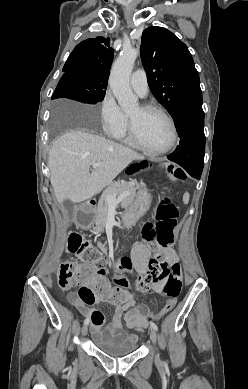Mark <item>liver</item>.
Listing matches in <instances>:
<instances>
[{
  "label": "liver",
  "instance_id": "6515ba94",
  "mask_svg": "<svg viewBox=\"0 0 248 389\" xmlns=\"http://www.w3.org/2000/svg\"><path fill=\"white\" fill-rule=\"evenodd\" d=\"M144 156L121 144L84 131L58 138L48 159L50 182L59 203H79L110 185L132 161ZM94 163L101 165L92 170Z\"/></svg>",
  "mask_w": 248,
  "mask_h": 389
}]
</instances>
